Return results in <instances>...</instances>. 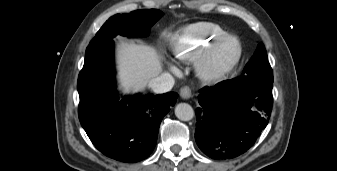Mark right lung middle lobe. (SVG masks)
I'll use <instances>...</instances> for the list:
<instances>
[{
  "label": "right lung middle lobe",
  "instance_id": "right-lung-middle-lobe-1",
  "mask_svg": "<svg viewBox=\"0 0 337 171\" xmlns=\"http://www.w3.org/2000/svg\"><path fill=\"white\" fill-rule=\"evenodd\" d=\"M163 15L164 13L157 9L136 10L123 15L116 14L110 17L96 33L86 52L101 41H112V38L117 35L146 36L150 32L151 26Z\"/></svg>",
  "mask_w": 337,
  "mask_h": 171
}]
</instances>
